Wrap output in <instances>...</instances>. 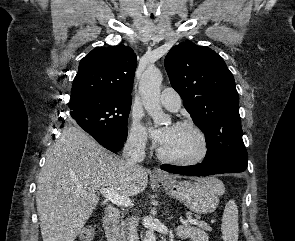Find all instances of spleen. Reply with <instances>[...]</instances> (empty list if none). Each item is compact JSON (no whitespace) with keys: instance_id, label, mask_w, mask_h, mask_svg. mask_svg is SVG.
Returning <instances> with one entry per match:
<instances>
[{"instance_id":"3e777b00","label":"spleen","mask_w":295,"mask_h":241,"mask_svg":"<svg viewBox=\"0 0 295 241\" xmlns=\"http://www.w3.org/2000/svg\"><path fill=\"white\" fill-rule=\"evenodd\" d=\"M238 208L234 200H230L222 217V236L224 241H238Z\"/></svg>"}]
</instances>
